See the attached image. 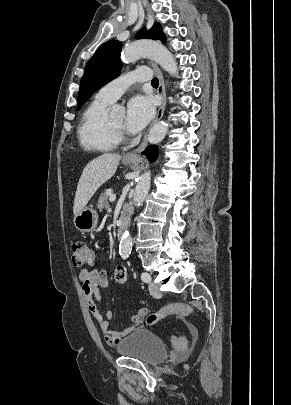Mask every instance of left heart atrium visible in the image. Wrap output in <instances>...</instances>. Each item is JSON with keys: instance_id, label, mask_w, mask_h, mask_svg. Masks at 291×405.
Instances as JSON below:
<instances>
[{"instance_id": "left-heart-atrium-1", "label": "left heart atrium", "mask_w": 291, "mask_h": 405, "mask_svg": "<svg viewBox=\"0 0 291 405\" xmlns=\"http://www.w3.org/2000/svg\"><path fill=\"white\" fill-rule=\"evenodd\" d=\"M153 115L152 100L147 96L136 95L127 104L125 127L130 133H138L151 121Z\"/></svg>"}]
</instances>
